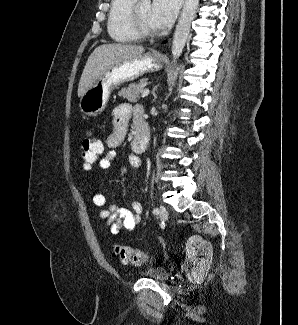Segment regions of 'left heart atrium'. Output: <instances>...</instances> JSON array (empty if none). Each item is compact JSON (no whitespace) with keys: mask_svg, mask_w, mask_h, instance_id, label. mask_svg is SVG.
I'll return each instance as SVG.
<instances>
[{"mask_svg":"<svg viewBox=\"0 0 298 325\" xmlns=\"http://www.w3.org/2000/svg\"><path fill=\"white\" fill-rule=\"evenodd\" d=\"M179 4L177 0H154L152 13L156 24L161 30L170 27L178 14Z\"/></svg>","mask_w":298,"mask_h":325,"instance_id":"39dd6f15","label":"left heart atrium"}]
</instances>
